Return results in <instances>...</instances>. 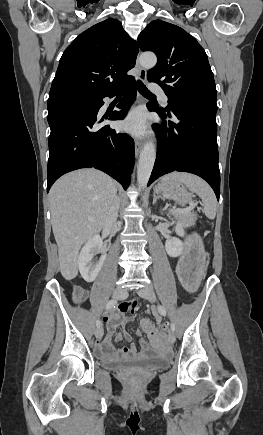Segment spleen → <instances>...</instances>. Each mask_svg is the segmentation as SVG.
<instances>
[{
    "label": "spleen",
    "mask_w": 263,
    "mask_h": 435,
    "mask_svg": "<svg viewBox=\"0 0 263 435\" xmlns=\"http://www.w3.org/2000/svg\"><path fill=\"white\" fill-rule=\"evenodd\" d=\"M162 180H172L184 184L190 191L195 192L201 198L205 215L209 219L215 218L217 209L215 194L210 186L200 177L185 172H173L164 176Z\"/></svg>",
    "instance_id": "obj_1"
}]
</instances>
